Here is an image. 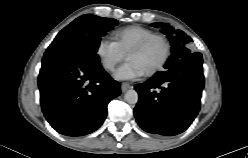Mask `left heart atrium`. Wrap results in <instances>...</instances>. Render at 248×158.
Listing matches in <instances>:
<instances>
[{
  "label": "left heart atrium",
  "instance_id": "39dd6f15",
  "mask_svg": "<svg viewBox=\"0 0 248 158\" xmlns=\"http://www.w3.org/2000/svg\"><path fill=\"white\" fill-rule=\"evenodd\" d=\"M145 74L144 70L135 61L128 60L114 74L118 80L132 81L141 78Z\"/></svg>",
  "mask_w": 248,
  "mask_h": 158
}]
</instances>
